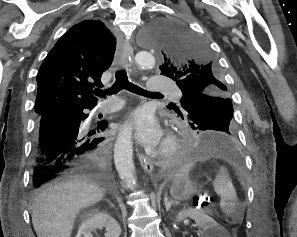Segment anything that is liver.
Returning a JSON list of instances; mask_svg holds the SVG:
<instances>
[{
    "instance_id": "6515ba94",
    "label": "liver",
    "mask_w": 297,
    "mask_h": 237,
    "mask_svg": "<svg viewBox=\"0 0 297 237\" xmlns=\"http://www.w3.org/2000/svg\"><path fill=\"white\" fill-rule=\"evenodd\" d=\"M104 189L90 177L73 175L38 191L31 206L37 237H70L77 214L102 200Z\"/></svg>"
}]
</instances>
